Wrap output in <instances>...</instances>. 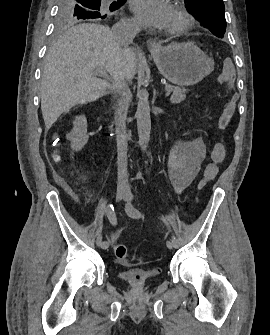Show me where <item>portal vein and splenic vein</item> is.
I'll use <instances>...</instances> for the list:
<instances>
[{"mask_svg":"<svg viewBox=\"0 0 270 335\" xmlns=\"http://www.w3.org/2000/svg\"><path fill=\"white\" fill-rule=\"evenodd\" d=\"M101 75H105V72H101ZM103 79H112V76H103ZM170 92V91H169ZM170 96V93H165V97Z\"/></svg>","mask_w":270,"mask_h":335,"instance_id":"portal-vein-and-splenic-vein-1","label":"portal vein and splenic vein"}]
</instances>
